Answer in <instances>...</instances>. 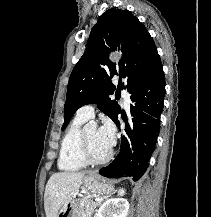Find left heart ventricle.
<instances>
[{
    "mask_svg": "<svg viewBox=\"0 0 211 217\" xmlns=\"http://www.w3.org/2000/svg\"><path fill=\"white\" fill-rule=\"evenodd\" d=\"M86 135L90 152L94 157L101 158L109 152L110 148L101 141L96 128L91 127L86 129Z\"/></svg>",
    "mask_w": 211,
    "mask_h": 217,
    "instance_id": "left-heart-ventricle-1",
    "label": "left heart ventricle"
}]
</instances>
